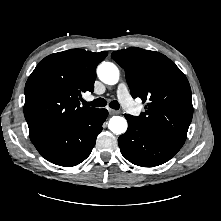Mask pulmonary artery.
<instances>
[{
    "instance_id": "pulmonary-artery-1",
    "label": "pulmonary artery",
    "mask_w": 221,
    "mask_h": 221,
    "mask_svg": "<svg viewBox=\"0 0 221 221\" xmlns=\"http://www.w3.org/2000/svg\"><path fill=\"white\" fill-rule=\"evenodd\" d=\"M117 96L124 108L131 111L133 107V101L130 97L128 87L126 83L120 82L117 86Z\"/></svg>"
}]
</instances>
